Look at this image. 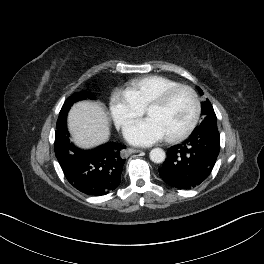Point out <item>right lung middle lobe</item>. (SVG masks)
I'll list each match as a JSON object with an SVG mask.
<instances>
[{
  "instance_id": "dd1d6c3e",
  "label": "right lung middle lobe",
  "mask_w": 264,
  "mask_h": 264,
  "mask_svg": "<svg viewBox=\"0 0 264 264\" xmlns=\"http://www.w3.org/2000/svg\"><path fill=\"white\" fill-rule=\"evenodd\" d=\"M84 98H89V99H93V95L87 91H82L80 93H76L74 95H72L71 97H69L63 104L60 114H59V118L56 124V132L60 131L61 129H63L66 126V117H67V113L70 109V107L77 101L82 100Z\"/></svg>"
}]
</instances>
